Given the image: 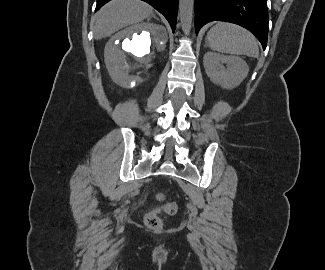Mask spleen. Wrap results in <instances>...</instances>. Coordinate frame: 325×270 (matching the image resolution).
<instances>
[{"instance_id": "obj_1", "label": "spleen", "mask_w": 325, "mask_h": 270, "mask_svg": "<svg viewBox=\"0 0 325 270\" xmlns=\"http://www.w3.org/2000/svg\"><path fill=\"white\" fill-rule=\"evenodd\" d=\"M212 50L232 55L258 58L259 47L254 35L232 23H217L206 36Z\"/></svg>"}]
</instances>
